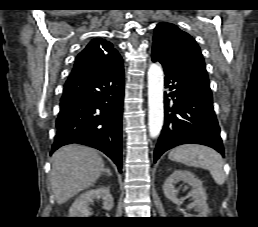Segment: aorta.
Segmentation results:
<instances>
[{
    "label": "aorta",
    "mask_w": 258,
    "mask_h": 227,
    "mask_svg": "<svg viewBox=\"0 0 258 227\" xmlns=\"http://www.w3.org/2000/svg\"><path fill=\"white\" fill-rule=\"evenodd\" d=\"M163 88L162 68L158 64H151L148 69V126L152 138L160 134L163 126Z\"/></svg>",
    "instance_id": "762f6f07"
}]
</instances>
